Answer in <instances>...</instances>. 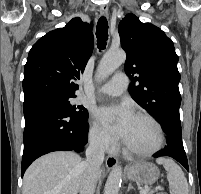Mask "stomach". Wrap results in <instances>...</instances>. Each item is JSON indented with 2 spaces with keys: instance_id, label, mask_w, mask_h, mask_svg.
I'll use <instances>...</instances> for the list:
<instances>
[{
  "instance_id": "1",
  "label": "stomach",
  "mask_w": 201,
  "mask_h": 194,
  "mask_svg": "<svg viewBox=\"0 0 201 194\" xmlns=\"http://www.w3.org/2000/svg\"><path fill=\"white\" fill-rule=\"evenodd\" d=\"M126 177L137 183L149 185L154 183L160 175L157 166L145 161H138L125 168Z\"/></svg>"
}]
</instances>
